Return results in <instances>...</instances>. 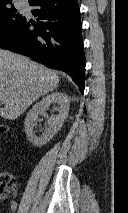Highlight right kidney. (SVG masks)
Listing matches in <instances>:
<instances>
[{
    "label": "right kidney",
    "instance_id": "1",
    "mask_svg": "<svg viewBox=\"0 0 128 213\" xmlns=\"http://www.w3.org/2000/svg\"><path fill=\"white\" fill-rule=\"evenodd\" d=\"M52 103L59 106V114L52 116L47 121V127L42 135L37 136L34 128L37 126L38 115L46 111ZM70 100L68 96L62 92H52L43 97L41 101L36 103L27 113L24 127L27 139L35 146L42 147L47 144L61 129L62 124L68 117Z\"/></svg>",
    "mask_w": 128,
    "mask_h": 213
}]
</instances>
